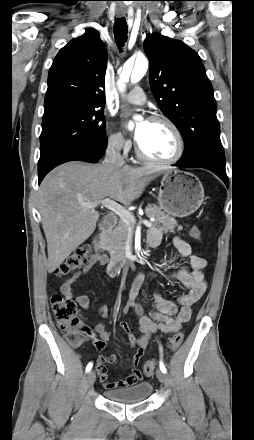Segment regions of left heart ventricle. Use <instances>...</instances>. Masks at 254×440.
I'll return each mask as SVG.
<instances>
[{
  "mask_svg": "<svg viewBox=\"0 0 254 440\" xmlns=\"http://www.w3.org/2000/svg\"><path fill=\"white\" fill-rule=\"evenodd\" d=\"M138 144L147 156L158 160L169 159L177 151L174 132L160 122H148Z\"/></svg>",
  "mask_w": 254,
  "mask_h": 440,
  "instance_id": "left-heart-ventricle-1",
  "label": "left heart ventricle"
}]
</instances>
